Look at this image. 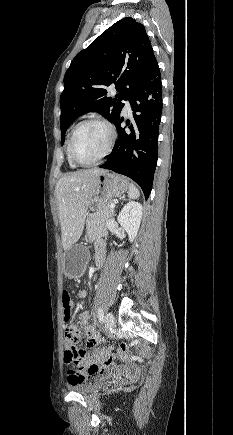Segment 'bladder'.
I'll list each match as a JSON object with an SVG mask.
<instances>
[{
  "label": "bladder",
  "mask_w": 233,
  "mask_h": 435,
  "mask_svg": "<svg viewBox=\"0 0 233 435\" xmlns=\"http://www.w3.org/2000/svg\"><path fill=\"white\" fill-rule=\"evenodd\" d=\"M107 376L97 377L93 382L82 384L81 382H70L68 388L82 394H87L101 387Z\"/></svg>",
  "instance_id": "bladder-1"
}]
</instances>
